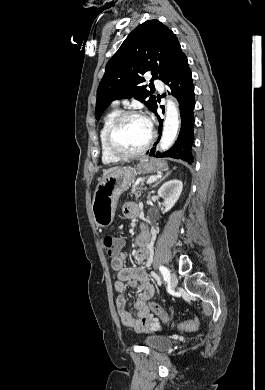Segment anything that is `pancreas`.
Here are the masks:
<instances>
[{"instance_id": "obj_1", "label": "pancreas", "mask_w": 265, "mask_h": 390, "mask_svg": "<svg viewBox=\"0 0 265 390\" xmlns=\"http://www.w3.org/2000/svg\"><path fill=\"white\" fill-rule=\"evenodd\" d=\"M147 180V178H144L143 181ZM143 185V182L142 184ZM143 190L142 186L140 187H133L131 189V194H134L136 198H138L141 195V191Z\"/></svg>"}]
</instances>
